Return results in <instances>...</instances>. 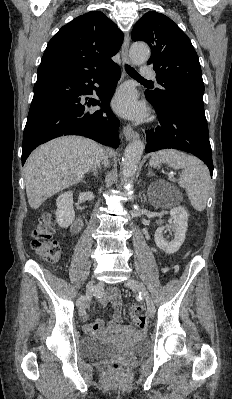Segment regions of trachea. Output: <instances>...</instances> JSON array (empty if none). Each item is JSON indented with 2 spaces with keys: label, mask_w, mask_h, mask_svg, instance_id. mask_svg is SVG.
<instances>
[{
  "label": "trachea",
  "mask_w": 232,
  "mask_h": 399,
  "mask_svg": "<svg viewBox=\"0 0 232 399\" xmlns=\"http://www.w3.org/2000/svg\"><path fill=\"white\" fill-rule=\"evenodd\" d=\"M125 70L128 73V75H130V77L136 80H144L145 82H151L150 80H146L145 78L141 77V75H139V73L134 68L130 67V65H125Z\"/></svg>",
  "instance_id": "obj_1"
}]
</instances>
